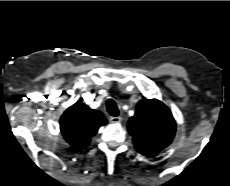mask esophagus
<instances>
[{"mask_svg":"<svg viewBox=\"0 0 230 186\" xmlns=\"http://www.w3.org/2000/svg\"><path fill=\"white\" fill-rule=\"evenodd\" d=\"M121 120H122V118L120 117V116H116V117H110V121L112 122V123H120L121 122Z\"/></svg>","mask_w":230,"mask_h":186,"instance_id":"obj_1","label":"esophagus"}]
</instances>
